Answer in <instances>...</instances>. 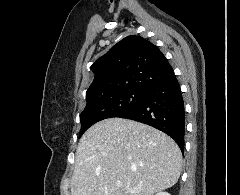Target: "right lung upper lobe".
Instances as JSON below:
<instances>
[{"instance_id": "obj_1", "label": "right lung upper lobe", "mask_w": 240, "mask_h": 195, "mask_svg": "<svg viewBox=\"0 0 240 195\" xmlns=\"http://www.w3.org/2000/svg\"><path fill=\"white\" fill-rule=\"evenodd\" d=\"M95 74L86 99L121 90L147 92L172 77L173 69L157 46L138 36H128L114 45L91 66Z\"/></svg>"}]
</instances>
